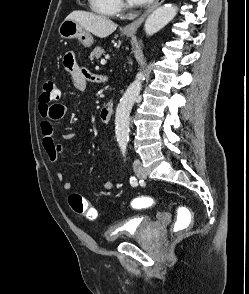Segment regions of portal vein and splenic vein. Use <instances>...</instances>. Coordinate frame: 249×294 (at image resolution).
<instances>
[{"mask_svg":"<svg viewBox=\"0 0 249 294\" xmlns=\"http://www.w3.org/2000/svg\"><path fill=\"white\" fill-rule=\"evenodd\" d=\"M100 63H101L102 65H105V64H106V60H105V59H102Z\"/></svg>","mask_w":249,"mask_h":294,"instance_id":"18ae733b","label":"portal vein and splenic vein"}]
</instances>
